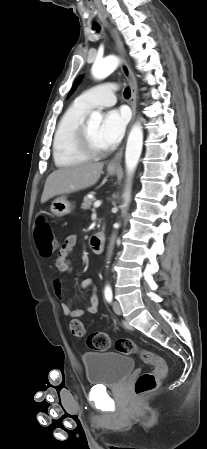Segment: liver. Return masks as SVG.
Listing matches in <instances>:
<instances>
[{"label":"liver","instance_id":"obj_1","mask_svg":"<svg viewBox=\"0 0 207 449\" xmlns=\"http://www.w3.org/2000/svg\"><path fill=\"white\" fill-rule=\"evenodd\" d=\"M103 166V163H84L52 172L46 179L41 203L57 195L93 186L99 180Z\"/></svg>","mask_w":207,"mask_h":449}]
</instances>
